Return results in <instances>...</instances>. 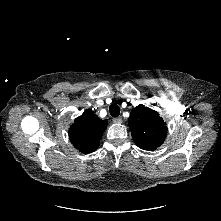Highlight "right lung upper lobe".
<instances>
[{"mask_svg":"<svg viewBox=\"0 0 221 221\" xmlns=\"http://www.w3.org/2000/svg\"><path fill=\"white\" fill-rule=\"evenodd\" d=\"M107 124V120H101L92 110L88 109L70 126V141L80 152L91 153L98 149Z\"/></svg>","mask_w":221,"mask_h":221,"instance_id":"cb5924a9","label":"right lung upper lobe"}]
</instances>
